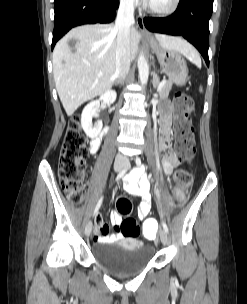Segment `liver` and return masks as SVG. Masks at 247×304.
I'll list each match as a JSON object with an SVG mask.
<instances>
[{
  "label": "liver",
  "instance_id": "obj_1",
  "mask_svg": "<svg viewBox=\"0 0 247 304\" xmlns=\"http://www.w3.org/2000/svg\"><path fill=\"white\" fill-rule=\"evenodd\" d=\"M113 24L83 25L71 29L53 51L55 86L68 116L84 102L108 90L115 81L117 31ZM161 48L177 51L187 58L197 51L185 40L162 34L155 35ZM77 40L74 51L68 40ZM140 33L130 29L131 59H134Z\"/></svg>",
  "mask_w": 247,
  "mask_h": 304
}]
</instances>
